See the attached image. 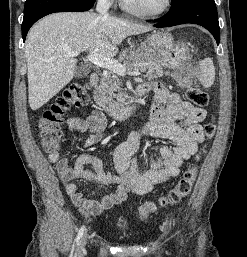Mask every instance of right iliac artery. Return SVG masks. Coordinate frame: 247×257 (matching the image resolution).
Listing matches in <instances>:
<instances>
[{"label": "right iliac artery", "instance_id": "obj_1", "mask_svg": "<svg viewBox=\"0 0 247 257\" xmlns=\"http://www.w3.org/2000/svg\"><path fill=\"white\" fill-rule=\"evenodd\" d=\"M84 231H85V226H82L80 228V230L78 231V234H77L76 239H75V242H76L77 246H79V244H80V239L82 238Z\"/></svg>", "mask_w": 247, "mask_h": 257}]
</instances>
